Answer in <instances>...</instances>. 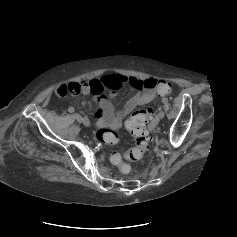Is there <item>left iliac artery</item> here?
<instances>
[{
    "label": "left iliac artery",
    "mask_w": 237,
    "mask_h": 237,
    "mask_svg": "<svg viewBox=\"0 0 237 237\" xmlns=\"http://www.w3.org/2000/svg\"><path fill=\"white\" fill-rule=\"evenodd\" d=\"M162 102H163L164 104H166V103L168 102V99H167V98H163V99H162Z\"/></svg>",
    "instance_id": "1"
}]
</instances>
